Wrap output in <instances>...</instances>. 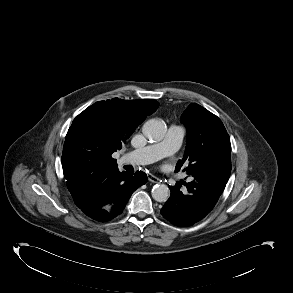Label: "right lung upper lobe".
Listing matches in <instances>:
<instances>
[{
	"label": "right lung upper lobe",
	"mask_w": 293,
	"mask_h": 293,
	"mask_svg": "<svg viewBox=\"0 0 293 293\" xmlns=\"http://www.w3.org/2000/svg\"><path fill=\"white\" fill-rule=\"evenodd\" d=\"M159 103L155 100H112L100 101L89 106L72 122L66 135L62 154V166L67 187L75 190L78 184L91 173L100 169L117 167L112 153L120 150L136 127L153 114ZM97 151L104 156V164L89 169L79 164L80 156ZM88 204L95 209H106L108 204Z\"/></svg>",
	"instance_id": "cb5924a9"
}]
</instances>
